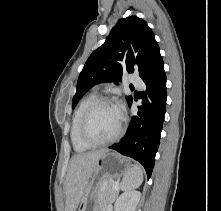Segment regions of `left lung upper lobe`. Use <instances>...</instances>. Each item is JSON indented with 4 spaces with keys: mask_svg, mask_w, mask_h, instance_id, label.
<instances>
[{
    "mask_svg": "<svg viewBox=\"0 0 221 211\" xmlns=\"http://www.w3.org/2000/svg\"><path fill=\"white\" fill-rule=\"evenodd\" d=\"M158 51L154 34L144 20L137 16L120 19L105 43L86 61L72 107L95 84L111 81L117 84L124 72L138 71L141 75ZM126 100L131 102L132 97L126 96Z\"/></svg>",
    "mask_w": 221,
    "mask_h": 211,
    "instance_id": "1",
    "label": "left lung upper lobe"
}]
</instances>
